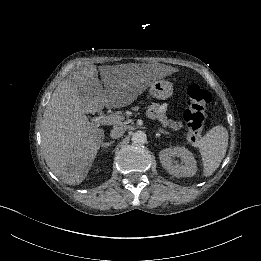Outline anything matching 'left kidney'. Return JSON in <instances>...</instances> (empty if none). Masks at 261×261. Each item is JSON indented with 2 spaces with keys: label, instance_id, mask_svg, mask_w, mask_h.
Returning a JSON list of instances; mask_svg holds the SVG:
<instances>
[{
  "label": "left kidney",
  "instance_id": "left-kidney-1",
  "mask_svg": "<svg viewBox=\"0 0 261 261\" xmlns=\"http://www.w3.org/2000/svg\"><path fill=\"white\" fill-rule=\"evenodd\" d=\"M181 159V164L173 161V158ZM159 160L169 174L175 177H192L196 173L195 159L191 153L183 147L163 149L159 152Z\"/></svg>",
  "mask_w": 261,
  "mask_h": 261
}]
</instances>
